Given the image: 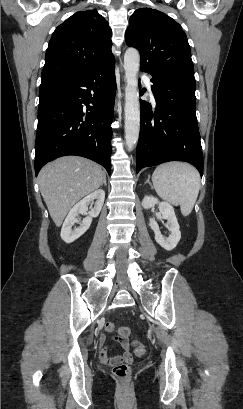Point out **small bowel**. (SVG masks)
Listing matches in <instances>:
<instances>
[{
    "mask_svg": "<svg viewBox=\"0 0 243 409\" xmlns=\"http://www.w3.org/2000/svg\"><path fill=\"white\" fill-rule=\"evenodd\" d=\"M122 348H124V353L117 356H110L108 347L105 343V338L103 335L98 337V356L102 363L106 365H114L118 362H130L132 360V354L129 351V342L128 340L125 341H118Z\"/></svg>",
    "mask_w": 243,
    "mask_h": 409,
    "instance_id": "1",
    "label": "small bowel"
}]
</instances>
